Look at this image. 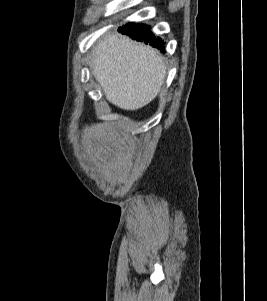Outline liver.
Here are the masks:
<instances>
[{"label": "liver", "instance_id": "6515ba94", "mask_svg": "<svg viewBox=\"0 0 267 301\" xmlns=\"http://www.w3.org/2000/svg\"><path fill=\"white\" fill-rule=\"evenodd\" d=\"M91 67L107 100L125 110L150 103L166 77L165 63L155 49L117 34L96 44Z\"/></svg>", "mask_w": 267, "mask_h": 301}]
</instances>
